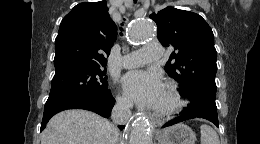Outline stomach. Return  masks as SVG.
Masks as SVG:
<instances>
[{
    "instance_id": "0dacf381",
    "label": "stomach",
    "mask_w": 260,
    "mask_h": 144,
    "mask_svg": "<svg viewBox=\"0 0 260 144\" xmlns=\"http://www.w3.org/2000/svg\"><path fill=\"white\" fill-rule=\"evenodd\" d=\"M157 139L159 144H195L196 134L190 127L180 123L162 130Z\"/></svg>"
}]
</instances>
